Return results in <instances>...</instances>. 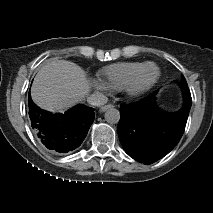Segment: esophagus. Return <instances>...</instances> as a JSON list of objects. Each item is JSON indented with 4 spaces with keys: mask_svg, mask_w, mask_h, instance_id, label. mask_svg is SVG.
Returning a JSON list of instances; mask_svg holds the SVG:
<instances>
[{
    "mask_svg": "<svg viewBox=\"0 0 213 213\" xmlns=\"http://www.w3.org/2000/svg\"><path fill=\"white\" fill-rule=\"evenodd\" d=\"M111 107H114V105L107 104V105H104V106L100 107L99 111L100 112H105L108 108H111Z\"/></svg>",
    "mask_w": 213,
    "mask_h": 213,
    "instance_id": "1",
    "label": "esophagus"
}]
</instances>
